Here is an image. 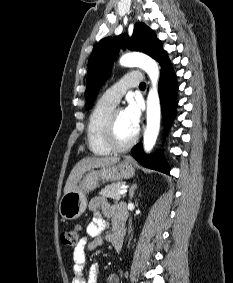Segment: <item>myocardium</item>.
Wrapping results in <instances>:
<instances>
[{"mask_svg": "<svg viewBox=\"0 0 233 283\" xmlns=\"http://www.w3.org/2000/svg\"><path fill=\"white\" fill-rule=\"evenodd\" d=\"M119 111H122L120 108L113 109L109 114L103 132V138L105 145L112 151V152H124L129 150L137 141L139 136V131L136 130L133 137L125 144L117 143L115 139V124H116V117Z\"/></svg>", "mask_w": 233, "mask_h": 283, "instance_id": "1", "label": "myocardium"}]
</instances>
